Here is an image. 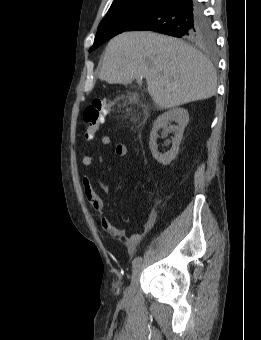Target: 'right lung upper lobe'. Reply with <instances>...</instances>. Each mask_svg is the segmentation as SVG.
I'll return each mask as SVG.
<instances>
[{"label":"right lung upper lobe","mask_w":261,"mask_h":340,"mask_svg":"<svg viewBox=\"0 0 261 340\" xmlns=\"http://www.w3.org/2000/svg\"><path fill=\"white\" fill-rule=\"evenodd\" d=\"M136 1H161V0H114L111 7L131 3V2H136Z\"/></svg>","instance_id":"obj_1"}]
</instances>
